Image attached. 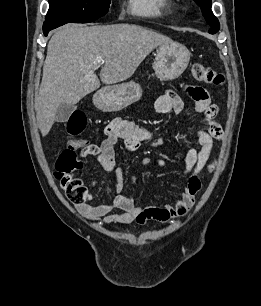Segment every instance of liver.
<instances>
[{"instance_id": "obj_1", "label": "liver", "mask_w": 261, "mask_h": 306, "mask_svg": "<svg viewBox=\"0 0 261 306\" xmlns=\"http://www.w3.org/2000/svg\"><path fill=\"white\" fill-rule=\"evenodd\" d=\"M169 37L133 24L82 26L67 24L51 37L35 99L38 127L46 136L61 104H76L100 87L97 58L104 61L101 82L107 85L130 78L141 62Z\"/></svg>"}]
</instances>
